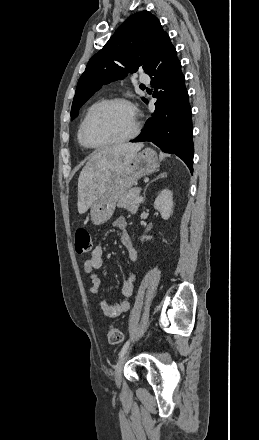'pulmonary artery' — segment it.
I'll return each mask as SVG.
<instances>
[{
    "label": "pulmonary artery",
    "instance_id": "e3ab8cb5",
    "mask_svg": "<svg viewBox=\"0 0 259 440\" xmlns=\"http://www.w3.org/2000/svg\"><path fill=\"white\" fill-rule=\"evenodd\" d=\"M140 82L148 84L150 82V78L147 75H141L139 78Z\"/></svg>",
    "mask_w": 259,
    "mask_h": 440
}]
</instances>
